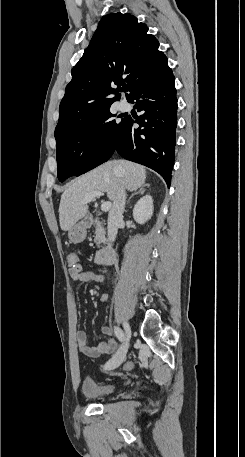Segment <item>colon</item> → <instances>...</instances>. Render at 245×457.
Masks as SVG:
<instances>
[{"mask_svg":"<svg viewBox=\"0 0 245 457\" xmlns=\"http://www.w3.org/2000/svg\"><path fill=\"white\" fill-rule=\"evenodd\" d=\"M67 258H68V263L71 266V268L78 269L80 267V265L78 264V257H77L76 253H73V252L69 253ZM124 368L125 369L132 368V363H130V362L125 363Z\"/></svg>","mask_w":245,"mask_h":457,"instance_id":"1","label":"colon"}]
</instances>
